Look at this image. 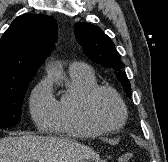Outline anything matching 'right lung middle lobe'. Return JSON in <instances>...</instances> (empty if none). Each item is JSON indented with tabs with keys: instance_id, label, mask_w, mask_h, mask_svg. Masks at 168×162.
I'll return each instance as SVG.
<instances>
[{
	"instance_id": "dd1d6c3e",
	"label": "right lung middle lobe",
	"mask_w": 168,
	"mask_h": 162,
	"mask_svg": "<svg viewBox=\"0 0 168 162\" xmlns=\"http://www.w3.org/2000/svg\"><path fill=\"white\" fill-rule=\"evenodd\" d=\"M31 80L0 85V129L19 123L24 95Z\"/></svg>"
}]
</instances>
